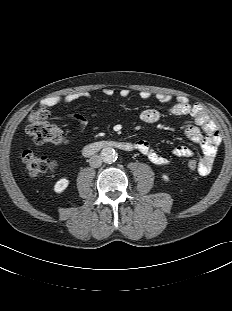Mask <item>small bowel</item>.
Instances as JSON below:
<instances>
[{
	"mask_svg": "<svg viewBox=\"0 0 232 311\" xmlns=\"http://www.w3.org/2000/svg\"><path fill=\"white\" fill-rule=\"evenodd\" d=\"M103 94L105 96H111L113 90L110 88H104ZM130 90L123 88L119 91V96L122 99L128 98ZM140 99L150 100L154 95L148 90H141L138 93ZM156 99L162 103L174 102L169 112L175 116H189L192 118V123H189L185 127L186 136L194 143L201 147L203 157L200 162L199 172L201 174H207L211 170L213 160L217 153V147L221 142V133L217 125L210 119L205 109L197 104H190L184 97L173 98L166 93H157ZM91 94L88 91L71 92L64 95H53L43 100L44 106H54L58 104H68L79 99H90ZM161 117V112L154 108H148L141 112L140 119L144 123L152 124L157 122ZM73 120L77 127L75 132L71 136V140L77 139L80 133L87 125V119L81 114H73L68 117ZM135 149L145 155L152 164L156 166H166L170 163V160L159 153H157L150 144L145 140L136 141ZM195 154V150L187 145H178L172 150V155L178 158H188Z\"/></svg>",
	"mask_w": 232,
	"mask_h": 311,
	"instance_id": "1",
	"label": "small bowel"
}]
</instances>
